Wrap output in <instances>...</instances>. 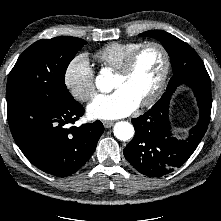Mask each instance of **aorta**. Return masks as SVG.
I'll list each match as a JSON object with an SVG mask.
<instances>
[{
    "mask_svg": "<svg viewBox=\"0 0 221 221\" xmlns=\"http://www.w3.org/2000/svg\"><path fill=\"white\" fill-rule=\"evenodd\" d=\"M96 86L102 92H109L112 89V83L108 74H100L96 78ZM115 137L121 141H127L134 135V127L126 121L117 122L113 128Z\"/></svg>",
    "mask_w": 221,
    "mask_h": 221,
    "instance_id": "obj_1",
    "label": "aorta"
}]
</instances>
